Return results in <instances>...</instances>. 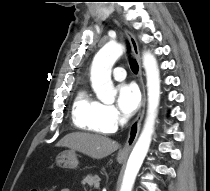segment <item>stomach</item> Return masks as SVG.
<instances>
[{"label":"stomach","mask_w":210,"mask_h":191,"mask_svg":"<svg viewBox=\"0 0 210 191\" xmlns=\"http://www.w3.org/2000/svg\"><path fill=\"white\" fill-rule=\"evenodd\" d=\"M117 161L119 163H122L124 161V158L118 157ZM56 164L57 166L61 168H68V169H74L78 166V160L75 151L68 150L60 153L56 157Z\"/></svg>","instance_id":"obj_1"}]
</instances>
